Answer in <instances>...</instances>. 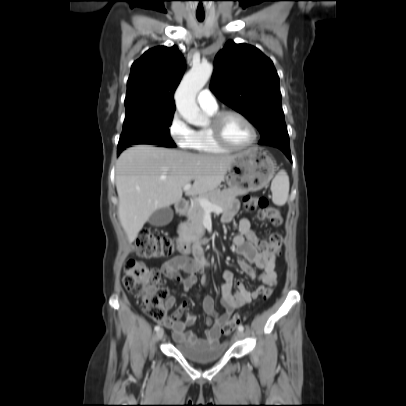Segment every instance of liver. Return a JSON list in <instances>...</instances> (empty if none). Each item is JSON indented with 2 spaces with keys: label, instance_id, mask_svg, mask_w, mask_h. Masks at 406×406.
I'll return each instance as SVG.
<instances>
[{
  "label": "liver",
  "instance_id": "1",
  "mask_svg": "<svg viewBox=\"0 0 406 406\" xmlns=\"http://www.w3.org/2000/svg\"><path fill=\"white\" fill-rule=\"evenodd\" d=\"M237 155L194 154L175 149L137 145L116 162L118 217L133 242L158 209L178 203L185 184L194 180L186 195L208 194L221 184Z\"/></svg>",
  "mask_w": 406,
  "mask_h": 406
}]
</instances>
